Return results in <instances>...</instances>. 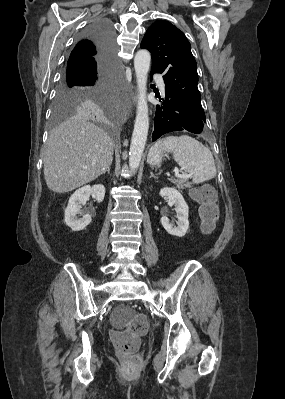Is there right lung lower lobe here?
<instances>
[{
  "label": "right lung lower lobe",
  "mask_w": 285,
  "mask_h": 399,
  "mask_svg": "<svg viewBox=\"0 0 285 399\" xmlns=\"http://www.w3.org/2000/svg\"><path fill=\"white\" fill-rule=\"evenodd\" d=\"M91 38L98 49L93 60L68 63L63 80L88 88L112 87L115 78V33L107 20H97L84 32L83 38ZM99 104H92L96 110Z\"/></svg>",
  "instance_id": "1"
}]
</instances>
